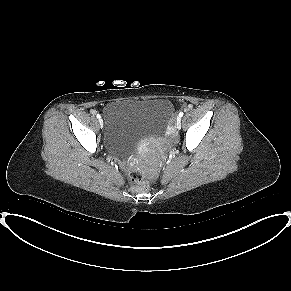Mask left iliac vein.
I'll return each mask as SVG.
<instances>
[{
    "mask_svg": "<svg viewBox=\"0 0 291 291\" xmlns=\"http://www.w3.org/2000/svg\"><path fill=\"white\" fill-rule=\"evenodd\" d=\"M176 127L178 128V129H180L181 128V118H177V120H176Z\"/></svg>",
    "mask_w": 291,
    "mask_h": 291,
    "instance_id": "obj_1",
    "label": "left iliac vein"
}]
</instances>
